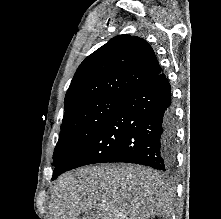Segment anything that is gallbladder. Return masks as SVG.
I'll use <instances>...</instances> for the list:
<instances>
[{"label": "gallbladder", "mask_w": 221, "mask_h": 219, "mask_svg": "<svg viewBox=\"0 0 221 219\" xmlns=\"http://www.w3.org/2000/svg\"><path fill=\"white\" fill-rule=\"evenodd\" d=\"M79 219H99V213L96 209L84 212Z\"/></svg>", "instance_id": "1"}]
</instances>
